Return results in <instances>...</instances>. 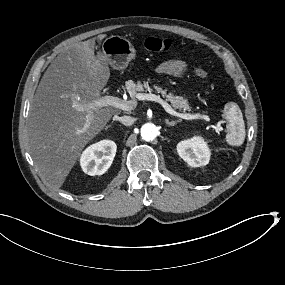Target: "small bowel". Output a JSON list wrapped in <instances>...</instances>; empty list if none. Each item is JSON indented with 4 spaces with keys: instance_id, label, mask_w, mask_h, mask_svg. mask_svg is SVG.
<instances>
[{
    "instance_id": "1",
    "label": "small bowel",
    "mask_w": 285,
    "mask_h": 285,
    "mask_svg": "<svg viewBox=\"0 0 285 285\" xmlns=\"http://www.w3.org/2000/svg\"><path fill=\"white\" fill-rule=\"evenodd\" d=\"M186 71V65L179 60H171L161 64L158 67L159 73L171 74L175 76H180Z\"/></svg>"
}]
</instances>
